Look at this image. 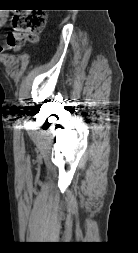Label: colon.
<instances>
[{
	"instance_id": "1",
	"label": "colon",
	"mask_w": 138,
	"mask_h": 253,
	"mask_svg": "<svg viewBox=\"0 0 138 253\" xmlns=\"http://www.w3.org/2000/svg\"><path fill=\"white\" fill-rule=\"evenodd\" d=\"M46 16L43 12L18 11L11 17V31L7 44L12 48L20 47L25 41H35L43 31Z\"/></svg>"
}]
</instances>
